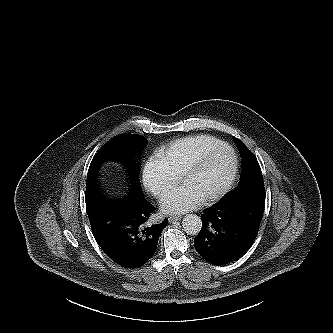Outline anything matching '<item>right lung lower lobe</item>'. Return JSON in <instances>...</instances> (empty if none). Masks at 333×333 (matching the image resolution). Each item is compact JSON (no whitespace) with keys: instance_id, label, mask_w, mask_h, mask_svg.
Masks as SVG:
<instances>
[{"instance_id":"98d812e1","label":"right lung lower lobe","mask_w":333,"mask_h":333,"mask_svg":"<svg viewBox=\"0 0 333 333\" xmlns=\"http://www.w3.org/2000/svg\"><path fill=\"white\" fill-rule=\"evenodd\" d=\"M85 201L93 236L115 263L124 268H137L154 255L168 220L146 225L155 207L142 196L128 194L109 199L93 193L86 194Z\"/></svg>"}]
</instances>
